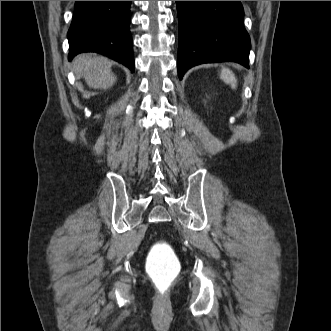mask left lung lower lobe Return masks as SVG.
<instances>
[{"mask_svg": "<svg viewBox=\"0 0 331 331\" xmlns=\"http://www.w3.org/2000/svg\"><path fill=\"white\" fill-rule=\"evenodd\" d=\"M179 78L191 67L237 62L249 68L250 37L240 1H176Z\"/></svg>", "mask_w": 331, "mask_h": 331, "instance_id": "obj_1", "label": "left lung lower lobe"}]
</instances>
